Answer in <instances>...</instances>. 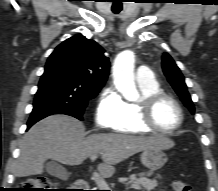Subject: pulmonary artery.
I'll return each instance as SVG.
<instances>
[{"instance_id": "pulmonary-artery-1", "label": "pulmonary artery", "mask_w": 218, "mask_h": 191, "mask_svg": "<svg viewBox=\"0 0 218 191\" xmlns=\"http://www.w3.org/2000/svg\"><path fill=\"white\" fill-rule=\"evenodd\" d=\"M136 80L138 83H150L154 81L153 71L147 66H140L137 72Z\"/></svg>"}]
</instances>
